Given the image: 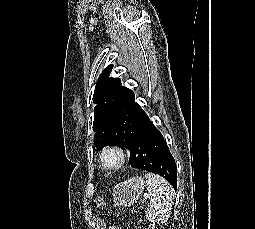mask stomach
<instances>
[{
    "label": "stomach",
    "instance_id": "1",
    "mask_svg": "<svg viewBox=\"0 0 255 229\" xmlns=\"http://www.w3.org/2000/svg\"><path fill=\"white\" fill-rule=\"evenodd\" d=\"M145 188L141 177H133L117 184L113 190L115 206L129 207L134 205Z\"/></svg>",
    "mask_w": 255,
    "mask_h": 229
}]
</instances>
